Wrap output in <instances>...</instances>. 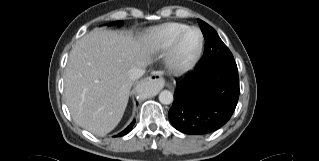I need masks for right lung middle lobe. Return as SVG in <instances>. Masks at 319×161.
<instances>
[{"instance_id":"right-lung-middle-lobe-1","label":"right lung middle lobe","mask_w":319,"mask_h":161,"mask_svg":"<svg viewBox=\"0 0 319 161\" xmlns=\"http://www.w3.org/2000/svg\"><path fill=\"white\" fill-rule=\"evenodd\" d=\"M112 24H119V26H121L122 25V21H117V22H114Z\"/></svg>"}]
</instances>
